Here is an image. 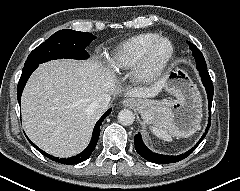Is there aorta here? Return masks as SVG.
Returning a JSON list of instances; mask_svg holds the SVG:
<instances>
[{
    "label": "aorta",
    "mask_w": 240,
    "mask_h": 191,
    "mask_svg": "<svg viewBox=\"0 0 240 191\" xmlns=\"http://www.w3.org/2000/svg\"><path fill=\"white\" fill-rule=\"evenodd\" d=\"M135 120V115L131 110L123 109L118 113V121L124 126L132 125Z\"/></svg>",
    "instance_id": "obj_1"
}]
</instances>
